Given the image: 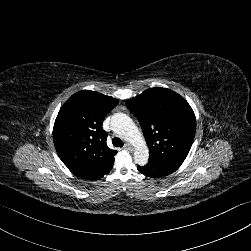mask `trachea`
Here are the masks:
<instances>
[{
  "instance_id": "1",
  "label": "trachea",
  "mask_w": 251,
  "mask_h": 251,
  "mask_svg": "<svg viewBox=\"0 0 251 251\" xmlns=\"http://www.w3.org/2000/svg\"><path fill=\"white\" fill-rule=\"evenodd\" d=\"M112 143L116 147H122L124 145L123 141L118 137L113 138Z\"/></svg>"
}]
</instances>
